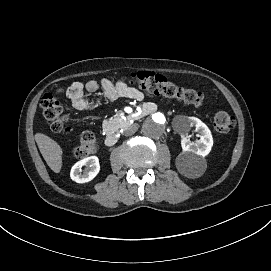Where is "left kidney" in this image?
<instances>
[{
    "instance_id": "1",
    "label": "left kidney",
    "mask_w": 271,
    "mask_h": 271,
    "mask_svg": "<svg viewBox=\"0 0 271 271\" xmlns=\"http://www.w3.org/2000/svg\"><path fill=\"white\" fill-rule=\"evenodd\" d=\"M186 124L189 127L195 126L196 131L200 134V139L196 142H191L184 134L182 135L181 146L183 153L179 156L182 162L190 161L193 158V154L202 157L208 155L213 146L211 131L200 119L188 117Z\"/></svg>"
}]
</instances>
